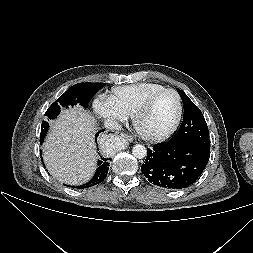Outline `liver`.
Here are the masks:
<instances>
[{
    "label": "liver",
    "instance_id": "6515ba94",
    "mask_svg": "<svg viewBox=\"0 0 253 253\" xmlns=\"http://www.w3.org/2000/svg\"><path fill=\"white\" fill-rule=\"evenodd\" d=\"M52 131L43 144V159L50 174L60 182L78 185L94 173L95 120L79 105L66 110L51 123Z\"/></svg>",
    "mask_w": 253,
    "mask_h": 253
}]
</instances>
